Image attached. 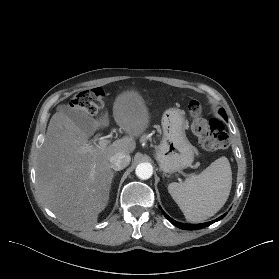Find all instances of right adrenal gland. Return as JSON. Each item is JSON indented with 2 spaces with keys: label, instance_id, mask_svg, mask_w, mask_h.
<instances>
[{
  "label": "right adrenal gland",
  "instance_id": "1",
  "mask_svg": "<svg viewBox=\"0 0 279 279\" xmlns=\"http://www.w3.org/2000/svg\"><path fill=\"white\" fill-rule=\"evenodd\" d=\"M116 173V171H114L113 173H112V178L114 177V174Z\"/></svg>",
  "mask_w": 279,
  "mask_h": 279
}]
</instances>
